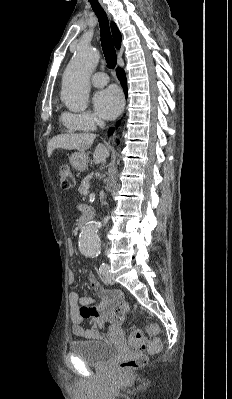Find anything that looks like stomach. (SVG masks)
Listing matches in <instances>:
<instances>
[{
    "mask_svg": "<svg viewBox=\"0 0 232 399\" xmlns=\"http://www.w3.org/2000/svg\"><path fill=\"white\" fill-rule=\"evenodd\" d=\"M69 162L75 170H78V172H84V170H87L89 164V156L88 154H85V152H76V154L70 156Z\"/></svg>",
    "mask_w": 232,
    "mask_h": 399,
    "instance_id": "stomach-1",
    "label": "stomach"
}]
</instances>
